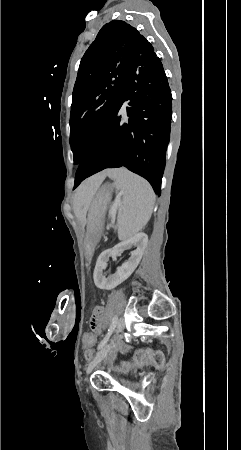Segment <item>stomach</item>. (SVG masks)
Segmentation results:
<instances>
[{
	"mask_svg": "<svg viewBox=\"0 0 241 450\" xmlns=\"http://www.w3.org/2000/svg\"><path fill=\"white\" fill-rule=\"evenodd\" d=\"M111 190L103 187L94 197L90 207L88 232L84 240V253L88 261L91 260L96 244L104 226V218L111 201Z\"/></svg>",
	"mask_w": 241,
	"mask_h": 450,
	"instance_id": "0dacf381",
	"label": "stomach"
}]
</instances>
